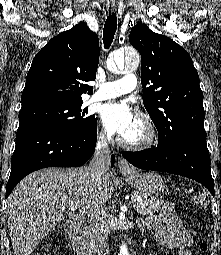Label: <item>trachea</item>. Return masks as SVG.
<instances>
[{
  "mask_svg": "<svg viewBox=\"0 0 221 255\" xmlns=\"http://www.w3.org/2000/svg\"><path fill=\"white\" fill-rule=\"evenodd\" d=\"M117 29V17L113 13L110 14L105 22L104 29H103V43L104 48L108 49L113 41L114 35Z\"/></svg>",
  "mask_w": 221,
  "mask_h": 255,
  "instance_id": "3493384b",
  "label": "trachea"
}]
</instances>
